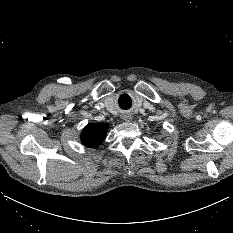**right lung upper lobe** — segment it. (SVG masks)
I'll list each match as a JSON object with an SVG mask.
<instances>
[{
	"label": "right lung upper lobe",
	"mask_w": 233,
	"mask_h": 233,
	"mask_svg": "<svg viewBox=\"0 0 233 233\" xmlns=\"http://www.w3.org/2000/svg\"><path fill=\"white\" fill-rule=\"evenodd\" d=\"M107 130L108 125L104 123L88 124L81 134V141L86 147H98L105 139Z\"/></svg>",
	"instance_id": "right-lung-upper-lobe-1"
}]
</instances>
